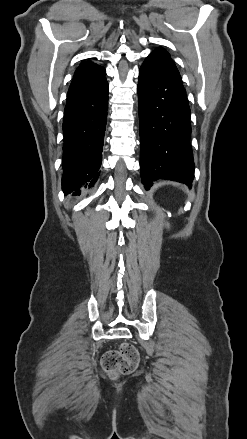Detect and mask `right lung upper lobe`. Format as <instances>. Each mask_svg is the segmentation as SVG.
Returning a JSON list of instances; mask_svg holds the SVG:
<instances>
[{
    "label": "right lung upper lobe",
    "instance_id": "obj_1",
    "mask_svg": "<svg viewBox=\"0 0 247 439\" xmlns=\"http://www.w3.org/2000/svg\"><path fill=\"white\" fill-rule=\"evenodd\" d=\"M105 75L103 67L89 61L82 62L75 71L67 95L96 88L106 81Z\"/></svg>",
    "mask_w": 247,
    "mask_h": 439
}]
</instances>
